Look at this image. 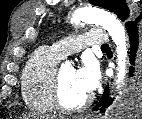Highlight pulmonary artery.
<instances>
[{
    "label": "pulmonary artery",
    "instance_id": "1",
    "mask_svg": "<svg viewBox=\"0 0 142 119\" xmlns=\"http://www.w3.org/2000/svg\"><path fill=\"white\" fill-rule=\"evenodd\" d=\"M109 41V37L103 29L94 28L84 34L59 40L51 48L63 58L79 52L85 46H102L108 44Z\"/></svg>",
    "mask_w": 142,
    "mask_h": 119
}]
</instances>
